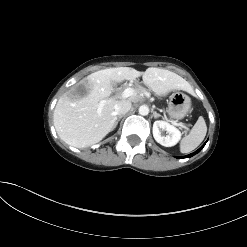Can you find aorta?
<instances>
[{"label":"aorta","instance_id":"obj_1","mask_svg":"<svg viewBox=\"0 0 247 247\" xmlns=\"http://www.w3.org/2000/svg\"><path fill=\"white\" fill-rule=\"evenodd\" d=\"M149 113V107L147 105H142L139 107V114L142 116H146Z\"/></svg>","mask_w":247,"mask_h":247}]
</instances>
